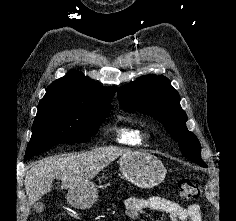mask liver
<instances>
[{"mask_svg": "<svg viewBox=\"0 0 236 221\" xmlns=\"http://www.w3.org/2000/svg\"><path fill=\"white\" fill-rule=\"evenodd\" d=\"M124 153L128 151L109 146L88 152L55 155L33 162L27 169L24 180L30 204L51 191L54 179L62 181V189L87 183Z\"/></svg>", "mask_w": 236, "mask_h": 221, "instance_id": "liver-1", "label": "liver"}]
</instances>
